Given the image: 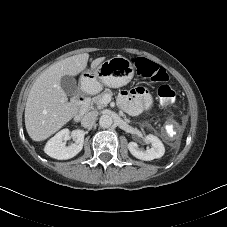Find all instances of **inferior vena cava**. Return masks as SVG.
<instances>
[{
	"mask_svg": "<svg viewBox=\"0 0 227 227\" xmlns=\"http://www.w3.org/2000/svg\"><path fill=\"white\" fill-rule=\"evenodd\" d=\"M97 116L98 113L96 111L86 113L81 120V125L85 128H92L95 124Z\"/></svg>",
	"mask_w": 227,
	"mask_h": 227,
	"instance_id": "602c4592",
	"label": "inferior vena cava"
}]
</instances>
